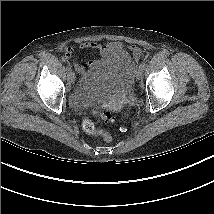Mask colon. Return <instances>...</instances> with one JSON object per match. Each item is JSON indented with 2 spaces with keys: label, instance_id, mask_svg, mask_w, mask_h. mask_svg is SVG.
Segmentation results:
<instances>
[{
  "label": "colon",
  "instance_id": "colon-1",
  "mask_svg": "<svg viewBox=\"0 0 214 214\" xmlns=\"http://www.w3.org/2000/svg\"><path fill=\"white\" fill-rule=\"evenodd\" d=\"M94 113L100 116L106 122H114L115 118L110 112H101L98 108L94 110ZM83 128L85 131L93 136L101 137L105 142H110L112 140V136L105 130L95 129L93 123L89 119H85L83 122Z\"/></svg>",
  "mask_w": 214,
  "mask_h": 214
}]
</instances>
